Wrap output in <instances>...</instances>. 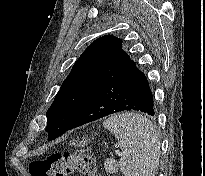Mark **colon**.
I'll return each instance as SVG.
<instances>
[{
	"instance_id": "5ec220e1",
	"label": "colon",
	"mask_w": 205,
	"mask_h": 176,
	"mask_svg": "<svg viewBox=\"0 0 205 176\" xmlns=\"http://www.w3.org/2000/svg\"><path fill=\"white\" fill-rule=\"evenodd\" d=\"M75 171L81 172L84 176H97L96 160L90 150L80 149L73 153H53L29 165L31 176H69Z\"/></svg>"
}]
</instances>
